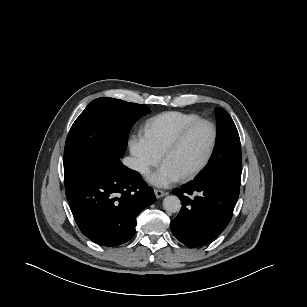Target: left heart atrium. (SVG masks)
Instances as JSON below:
<instances>
[{
  "mask_svg": "<svg viewBox=\"0 0 307 307\" xmlns=\"http://www.w3.org/2000/svg\"><path fill=\"white\" fill-rule=\"evenodd\" d=\"M148 181L159 187H167L182 178L172 165L164 162L156 171L148 175Z\"/></svg>",
  "mask_w": 307,
  "mask_h": 307,
  "instance_id": "1",
  "label": "left heart atrium"
}]
</instances>
